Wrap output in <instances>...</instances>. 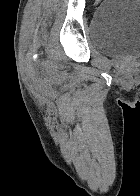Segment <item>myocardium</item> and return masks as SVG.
<instances>
[{
  "label": "myocardium",
  "instance_id": "1",
  "mask_svg": "<svg viewBox=\"0 0 140 196\" xmlns=\"http://www.w3.org/2000/svg\"><path fill=\"white\" fill-rule=\"evenodd\" d=\"M95 192H106V191H95Z\"/></svg>",
  "mask_w": 140,
  "mask_h": 196
}]
</instances>
